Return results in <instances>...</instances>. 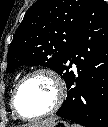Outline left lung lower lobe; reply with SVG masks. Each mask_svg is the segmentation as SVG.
<instances>
[{
    "instance_id": "obj_1",
    "label": "left lung lower lobe",
    "mask_w": 108,
    "mask_h": 127,
    "mask_svg": "<svg viewBox=\"0 0 108 127\" xmlns=\"http://www.w3.org/2000/svg\"><path fill=\"white\" fill-rule=\"evenodd\" d=\"M73 63L76 69L70 71ZM64 74L68 93L57 116L85 127H108V6L105 1L88 0Z\"/></svg>"
}]
</instances>
